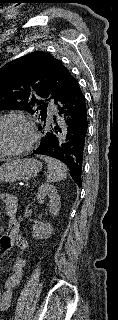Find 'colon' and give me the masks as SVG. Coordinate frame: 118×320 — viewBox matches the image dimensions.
Wrapping results in <instances>:
<instances>
[{
    "label": "colon",
    "instance_id": "colon-1",
    "mask_svg": "<svg viewBox=\"0 0 118 320\" xmlns=\"http://www.w3.org/2000/svg\"><path fill=\"white\" fill-rule=\"evenodd\" d=\"M25 243L22 237L18 234L16 226H12L9 233L2 237L0 242V253L5 252L12 246L24 247Z\"/></svg>",
    "mask_w": 118,
    "mask_h": 320
}]
</instances>
